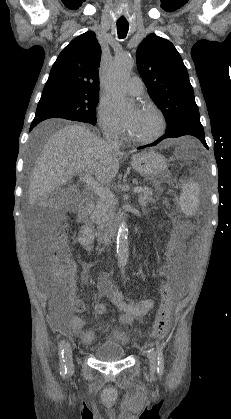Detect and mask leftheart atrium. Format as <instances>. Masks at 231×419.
Segmentation results:
<instances>
[{
  "mask_svg": "<svg viewBox=\"0 0 231 419\" xmlns=\"http://www.w3.org/2000/svg\"><path fill=\"white\" fill-rule=\"evenodd\" d=\"M130 123H131V121H130V120H127V121H126V124H127L128 129H129Z\"/></svg>",
  "mask_w": 231,
  "mask_h": 419,
  "instance_id": "39dd6f15",
  "label": "left heart atrium"
}]
</instances>
